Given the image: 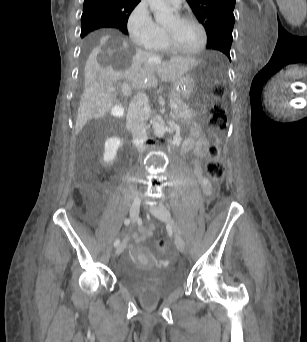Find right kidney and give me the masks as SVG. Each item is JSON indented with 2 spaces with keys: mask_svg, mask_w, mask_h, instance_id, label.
<instances>
[{
  "mask_svg": "<svg viewBox=\"0 0 307 342\" xmlns=\"http://www.w3.org/2000/svg\"><path fill=\"white\" fill-rule=\"evenodd\" d=\"M122 144L121 138H108L104 144L103 160L106 164H112L117 156V150H119Z\"/></svg>",
  "mask_w": 307,
  "mask_h": 342,
  "instance_id": "obj_1",
  "label": "right kidney"
}]
</instances>
